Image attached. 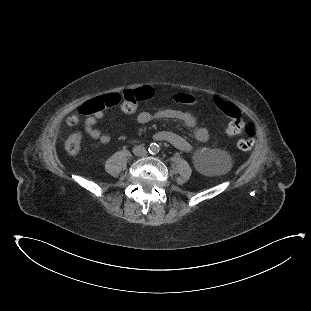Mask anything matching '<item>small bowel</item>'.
Instances as JSON below:
<instances>
[{
	"label": "small bowel",
	"mask_w": 311,
	"mask_h": 311,
	"mask_svg": "<svg viewBox=\"0 0 311 311\" xmlns=\"http://www.w3.org/2000/svg\"><path fill=\"white\" fill-rule=\"evenodd\" d=\"M102 117V112H98L93 116L88 117L85 121V130L92 139H98L101 143L107 144L111 140L110 135L102 134L101 131L97 128V123ZM162 119L182 122L184 125L194 131V136L199 142H206L209 139V133L207 129L198 127L195 118L190 113L185 111L177 109H162L153 112L145 110L141 111L137 116V121L141 124H147L154 120ZM154 138L159 141L168 142L185 152H192L194 150V147L189 140L171 131L158 132L155 134Z\"/></svg>",
	"instance_id": "obj_1"
}]
</instances>
